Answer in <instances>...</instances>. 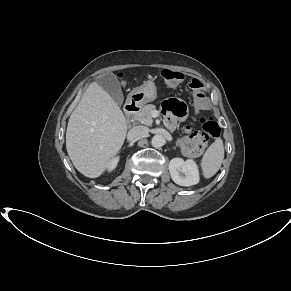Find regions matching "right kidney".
I'll return each instance as SVG.
<instances>
[{
  "label": "right kidney",
  "instance_id": "1",
  "mask_svg": "<svg viewBox=\"0 0 291 291\" xmlns=\"http://www.w3.org/2000/svg\"><path fill=\"white\" fill-rule=\"evenodd\" d=\"M118 161H119V157L113 158L109 164L108 170L109 171L113 170L116 167Z\"/></svg>",
  "mask_w": 291,
  "mask_h": 291
}]
</instances>
